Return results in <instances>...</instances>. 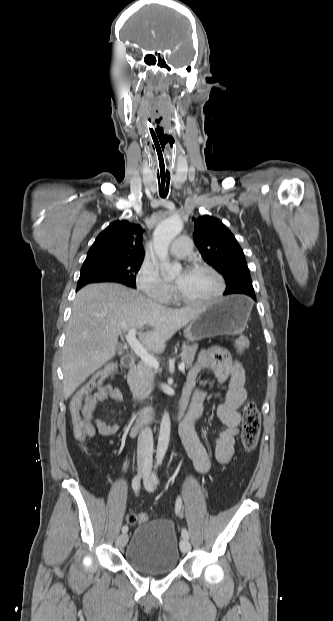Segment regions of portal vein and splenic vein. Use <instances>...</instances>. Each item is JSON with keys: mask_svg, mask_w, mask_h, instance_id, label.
<instances>
[{"mask_svg": "<svg viewBox=\"0 0 333 621\" xmlns=\"http://www.w3.org/2000/svg\"><path fill=\"white\" fill-rule=\"evenodd\" d=\"M126 341L132 348V350L141 358L143 362L147 365L158 369L159 363L158 361L151 356L148 351L140 344V342L136 338V329H130L127 334H125ZM179 370L183 371L185 369V363L181 362L178 366Z\"/></svg>", "mask_w": 333, "mask_h": 621, "instance_id": "portal-vein-and-splenic-vein-1", "label": "portal vein and splenic vein"}]
</instances>
